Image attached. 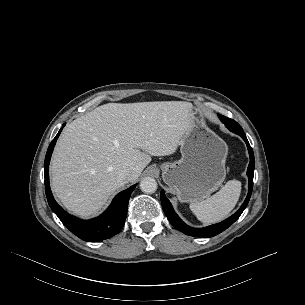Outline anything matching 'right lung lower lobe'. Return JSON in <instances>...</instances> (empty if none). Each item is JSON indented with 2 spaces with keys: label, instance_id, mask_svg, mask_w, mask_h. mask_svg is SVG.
I'll return each instance as SVG.
<instances>
[{
  "label": "right lung lower lobe",
  "instance_id": "1",
  "mask_svg": "<svg viewBox=\"0 0 305 305\" xmlns=\"http://www.w3.org/2000/svg\"><path fill=\"white\" fill-rule=\"evenodd\" d=\"M61 131L62 128L49 145L44 162L45 191L48 204L62 223L82 240L96 242L110 238L119 233L125 223L128 201L136 184L117 194L108 209L96 218L81 220L69 215L56 203L49 186V162Z\"/></svg>",
  "mask_w": 305,
  "mask_h": 305
}]
</instances>
